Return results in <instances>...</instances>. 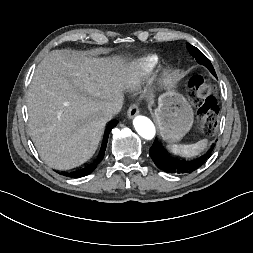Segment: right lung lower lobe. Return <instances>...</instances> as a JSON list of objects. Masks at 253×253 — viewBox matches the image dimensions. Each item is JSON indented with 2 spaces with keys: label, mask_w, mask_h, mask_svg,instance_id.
<instances>
[{
  "label": "right lung lower lobe",
  "mask_w": 253,
  "mask_h": 253,
  "mask_svg": "<svg viewBox=\"0 0 253 253\" xmlns=\"http://www.w3.org/2000/svg\"><path fill=\"white\" fill-rule=\"evenodd\" d=\"M116 124H117L116 122H111L110 124H108V126L105 130V134H104L102 149L100 151L99 156L97 157V159L92 164L88 165L87 167H85L81 170L73 171V172H70V173H65L64 175L68 176V177H72V178H80V177H83V176H86V175L92 173L104 157L109 132L111 131V129L113 127L116 126Z\"/></svg>",
  "instance_id": "1"
}]
</instances>
